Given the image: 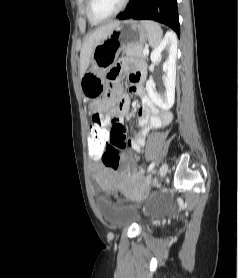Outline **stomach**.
Listing matches in <instances>:
<instances>
[{
    "instance_id": "stomach-1",
    "label": "stomach",
    "mask_w": 238,
    "mask_h": 278,
    "mask_svg": "<svg viewBox=\"0 0 238 278\" xmlns=\"http://www.w3.org/2000/svg\"><path fill=\"white\" fill-rule=\"evenodd\" d=\"M148 38V31L142 22L125 20L110 30L107 37L93 50L92 67L80 80L83 95L90 100H97L106 90V71L116 64L121 50L129 45L143 46Z\"/></svg>"
}]
</instances>
